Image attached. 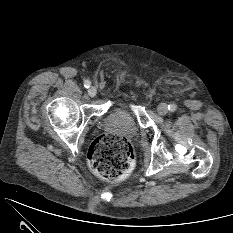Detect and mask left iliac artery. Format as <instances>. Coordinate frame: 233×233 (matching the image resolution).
Instances as JSON below:
<instances>
[{"label":"left iliac artery","mask_w":233,"mask_h":233,"mask_svg":"<svg viewBox=\"0 0 233 233\" xmlns=\"http://www.w3.org/2000/svg\"><path fill=\"white\" fill-rule=\"evenodd\" d=\"M168 109H169V111L174 112V111H176L177 106H176L175 104H170V105L168 106Z\"/></svg>","instance_id":"left-iliac-artery-1"}]
</instances>
